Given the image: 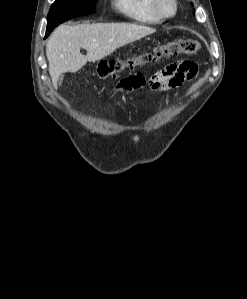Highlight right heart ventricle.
Wrapping results in <instances>:
<instances>
[{
    "mask_svg": "<svg viewBox=\"0 0 247 299\" xmlns=\"http://www.w3.org/2000/svg\"><path fill=\"white\" fill-rule=\"evenodd\" d=\"M113 6L135 23L156 25L162 21L154 9V0H113Z\"/></svg>",
    "mask_w": 247,
    "mask_h": 299,
    "instance_id": "1",
    "label": "right heart ventricle"
}]
</instances>
